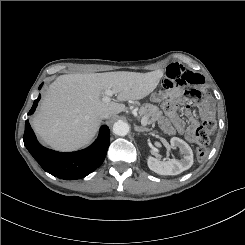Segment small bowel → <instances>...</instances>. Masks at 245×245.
<instances>
[{"label": "small bowel", "mask_w": 245, "mask_h": 245, "mask_svg": "<svg viewBox=\"0 0 245 245\" xmlns=\"http://www.w3.org/2000/svg\"><path fill=\"white\" fill-rule=\"evenodd\" d=\"M205 84L204 77L196 72L185 69L180 65H171L164 73L162 85L167 90H172L175 87H181L184 93V98L192 103H201L204 100V92L199 89H192L193 86L203 87ZM174 95L178 93L172 92ZM188 126L176 125V120L179 119L177 113L168 114L167 117L161 120L162 128L169 133H180L186 136L188 140H192V133L198 125L197 119L187 109ZM213 110L209 105L201 107V115L203 117H210Z\"/></svg>", "instance_id": "small-bowel-1"}]
</instances>
